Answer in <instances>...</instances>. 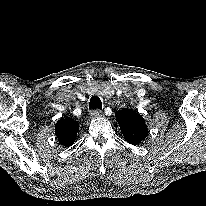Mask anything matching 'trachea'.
Returning <instances> with one entry per match:
<instances>
[{"label": "trachea", "instance_id": "3493384b", "mask_svg": "<svg viewBox=\"0 0 206 206\" xmlns=\"http://www.w3.org/2000/svg\"><path fill=\"white\" fill-rule=\"evenodd\" d=\"M89 109L102 110V102L98 96L94 95L91 97L89 102Z\"/></svg>", "mask_w": 206, "mask_h": 206}]
</instances>
